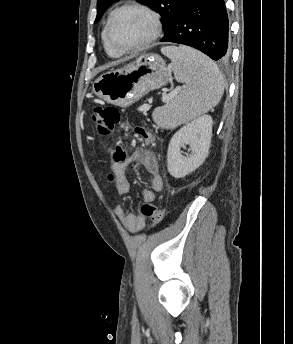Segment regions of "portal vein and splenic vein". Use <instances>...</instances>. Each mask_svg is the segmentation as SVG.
I'll return each mask as SVG.
<instances>
[{
    "label": "portal vein and splenic vein",
    "mask_w": 293,
    "mask_h": 344,
    "mask_svg": "<svg viewBox=\"0 0 293 344\" xmlns=\"http://www.w3.org/2000/svg\"><path fill=\"white\" fill-rule=\"evenodd\" d=\"M181 90V87H177L175 90L171 91L169 94L162 97L163 102H167L170 98L174 97Z\"/></svg>",
    "instance_id": "1"
}]
</instances>
